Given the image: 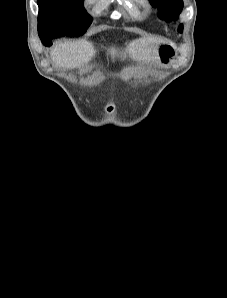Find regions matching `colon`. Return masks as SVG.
Returning a JSON list of instances; mask_svg holds the SVG:
<instances>
[{
    "label": "colon",
    "instance_id": "5ec220e1",
    "mask_svg": "<svg viewBox=\"0 0 227 298\" xmlns=\"http://www.w3.org/2000/svg\"><path fill=\"white\" fill-rule=\"evenodd\" d=\"M173 55V49L169 45H163L160 48V57L162 61L166 62Z\"/></svg>",
    "mask_w": 227,
    "mask_h": 298
}]
</instances>
